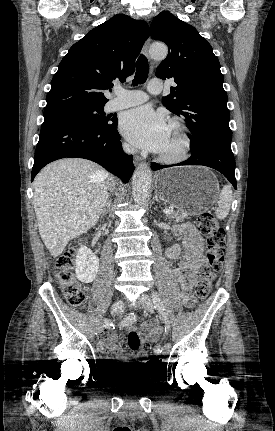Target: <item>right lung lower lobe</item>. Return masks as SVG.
<instances>
[{
  "label": "right lung lower lobe",
  "mask_w": 275,
  "mask_h": 431,
  "mask_svg": "<svg viewBox=\"0 0 275 431\" xmlns=\"http://www.w3.org/2000/svg\"><path fill=\"white\" fill-rule=\"evenodd\" d=\"M117 117L111 124L92 126L72 119L45 120L34 156L31 181L48 163L65 157L94 161L128 182L134 171L132 156L122 150L116 130Z\"/></svg>",
  "instance_id": "1"
}]
</instances>
